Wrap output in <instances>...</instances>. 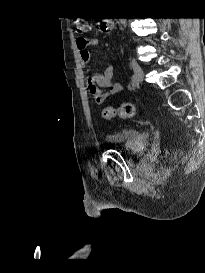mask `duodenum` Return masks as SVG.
<instances>
[{
    "label": "duodenum",
    "instance_id": "obj_1",
    "mask_svg": "<svg viewBox=\"0 0 205 273\" xmlns=\"http://www.w3.org/2000/svg\"><path fill=\"white\" fill-rule=\"evenodd\" d=\"M112 27V20L106 19L101 23L100 30L103 32H108L111 30Z\"/></svg>",
    "mask_w": 205,
    "mask_h": 273
}]
</instances>
